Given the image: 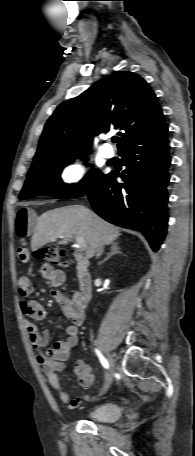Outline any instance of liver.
<instances>
[{
  "label": "liver",
  "mask_w": 195,
  "mask_h": 456,
  "mask_svg": "<svg viewBox=\"0 0 195 456\" xmlns=\"http://www.w3.org/2000/svg\"><path fill=\"white\" fill-rule=\"evenodd\" d=\"M120 230L82 205H70L43 213L38 219L31 239L33 251L50 242L67 245L74 237L86 241V258L90 259L100 245L113 243Z\"/></svg>",
  "instance_id": "1"
}]
</instances>
